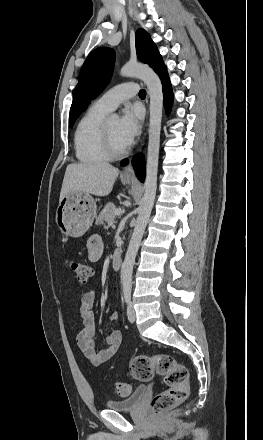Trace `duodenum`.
Here are the masks:
<instances>
[{
	"instance_id": "obj_1",
	"label": "duodenum",
	"mask_w": 263,
	"mask_h": 440,
	"mask_svg": "<svg viewBox=\"0 0 263 440\" xmlns=\"http://www.w3.org/2000/svg\"><path fill=\"white\" fill-rule=\"evenodd\" d=\"M112 268L115 271L120 270L121 265H122V255L119 252L114 253L113 257H112Z\"/></svg>"
}]
</instances>
